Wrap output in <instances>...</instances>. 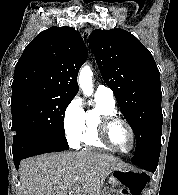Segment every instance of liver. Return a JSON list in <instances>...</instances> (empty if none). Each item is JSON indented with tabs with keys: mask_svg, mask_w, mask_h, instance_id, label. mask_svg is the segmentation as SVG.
<instances>
[{
	"mask_svg": "<svg viewBox=\"0 0 178 195\" xmlns=\"http://www.w3.org/2000/svg\"><path fill=\"white\" fill-rule=\"evenodd\" d=\"M121 160L97 152H64L28 158L20 165V195H100Z\"/></svg>",
	"mask_w": 178,
	"mask_h": 195,
	"instance_id": "6515ba94",
	"label": "liver"
}]
</instances>
